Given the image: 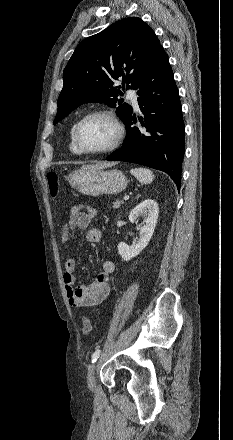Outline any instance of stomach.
I'll list each match as a JSON object with an SVG mask.
<instances>
[{
    "label": "stomach",
    "mask_w": 233,
    "mask_h": 440,
    "mask_svg": "<svg viewBox=\"0 0 233 440\" xmlns=\"http://www.w3.org/2000/svg\"><path fill=\"white\" fill-rule=\"evenodd\" d=\"M68 181L82 194L94 197L103 194H118L127 187L128 183L120 170H103L90 166L73 171L68 176Z\"/></svg>",
    "instance_id": "stomach-1"
}]
</instances>
